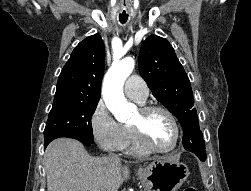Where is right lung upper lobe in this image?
<instances>
[{"label": "right lung upper lobe", "mask_w": 251, "mask_h": 191, "mask_svg": "<svg viewBox=\"0 0 251 191\" xmlns=\"http://www.w3.org/2000/svg\"><path fill=\"white\" fill-rule=\"evenodd\" d=\"M104 66L101 36L95 34L80 42L60 73L53 106L98 102Z\"/></svg>", "instance_id": "cb5924a9"}]
</instances>
